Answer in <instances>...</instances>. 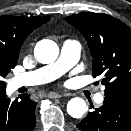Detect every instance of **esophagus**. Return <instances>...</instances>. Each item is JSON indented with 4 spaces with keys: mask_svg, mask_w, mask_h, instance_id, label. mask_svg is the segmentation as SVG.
I'll return each mask as SVG.
<instances>
[{
    "mask_svg": "<svg viewBox=\"0 0 131 131\" xmlns=\"http://www.w3.org/2000/svg\"><path fill=\"white\" fill-rule=\"evenodd\" d=\"M69 95H70V94H68V93L59 94V93H54V92H52V93H49V94H48V97H49V98H60V97L69 96Z\"/></svg>",
    "mask_w": 131,
    "mask_h": 131,
    "instance_id": "obj_1",
    "label": "esophagus"
}]
</instances>
